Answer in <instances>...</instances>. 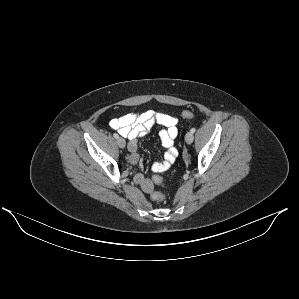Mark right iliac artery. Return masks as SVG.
Returning <instances> with one entry per match:
<instances>
[{"label": "right iliac artery", "mask_w": 299, "mask_h": 299, "mask_svg": "<svg viewBox=\"0 0 299 299\" xmlns=\"http://www.w3.org/2000/svg\"><path fill=\"white\" fill-rule=\"evenodd\" d=\"M113 136H114V138H116V139L119 137L117 133H114Z\"/></svg>", "instance_id": "82829eb1"}]
</instances>
